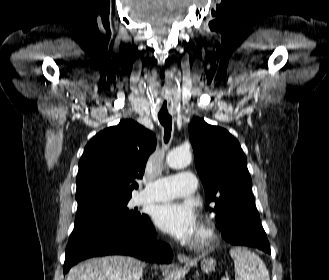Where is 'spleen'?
Masks as SVG:
<instances>
[{
    "mask_svg": "<svg viewBox=\"0 0 329 280\" xmlns=\"http://www.w3.org/2000/svg\"><path fill=\"white\" fill-rule=\"evenodd\" d=\"M230 255L234 261L235 280H270L266 265L255 253L235 247Z\"/></svg>",
    "mask_w": 329,
    "mask_h": 280,
    "instance_id": "spleen-1",
    "label": "spleen"
}]
</instances>
